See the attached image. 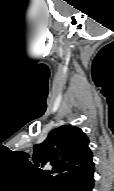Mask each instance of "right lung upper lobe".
Here are the masks:
<instances>
[{
	"label": "right lung upper lobe",
	"instance_id": "cb5924a9",
	"mask_svg": "<svg viewBox=\"0 0 114 191\" xmlns=\"http://www.w3.org/2000/svg\"><path fill=\"white\" fill-rule=\"evenodd\" d=\"M89 140L76 126L63 125L52 130L47 139L34 146L33 163L24 152L18 154L38 172L53 179L59 186L66 179L87 173L94 169L93 154L88 147ZM50 167L51 170H42ZM53 177H52V175Z\"/></svg>",
	"mask_w": 114,
	"mask_h": 191
}]
</instances>
